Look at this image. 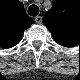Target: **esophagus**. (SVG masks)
I'll return each instance as SVG.
<instances>
[{
  "instance_id": "esophagus-1",
  "label": "esophagus",
  "mask_w": 80,
  "mask_h": 80,
  "mask_svg": "<svg viewBox=\"0 0 80 80\" xmlns=\"http://www.w3.org/2000/svg\"><path fill=\"white\" fill-rule=\"evenodd\" d=\"M34 21L38 24L42 23V17L41 16H37L34 18Z\"/></svg>"
}]
</instances>
